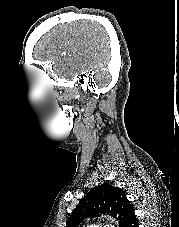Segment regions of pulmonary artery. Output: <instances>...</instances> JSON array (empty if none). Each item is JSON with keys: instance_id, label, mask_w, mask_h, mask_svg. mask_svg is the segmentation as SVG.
Here are the masks:
<instances>
[{"instance_id": "obj_1", "label": "pulmonary artery", "mask_w": 179, "mask_h": 227, "mask_svg": "<svg viewBox=\"0 0 179 227\" xmlns=\"http://www.w3.org/2000/svg\"><path fill=\"white\" fill-rule=\"evenodd\" d=\"M89 227H114V226H112V225H104V224H94V225H91V226H89Z\"/></svg>"}]
</instances>
